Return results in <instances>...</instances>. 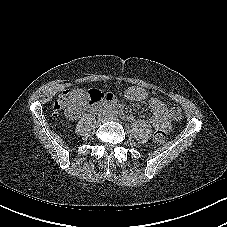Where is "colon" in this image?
<instances>
[{
  "label": "colon",
  "mask_w": 227,
  "mask_h": 227,
  "mask_svg": "<svg viewBox=\"0 0 227 227\" xmlns=\"http://www.w3.org/2000/svg\"><path fill=\"white\" fill-rule=\"evenodd\" d=\"M69 94V90H65L59 97L58 99L55 101L54 103V113L57 115L60 110L63 108L65 101L67 99V96ZM169 115L170 117L175 120V121H179L182 117V112L181 109L177 106V105H172L170 107L169 110ZM167 139V135L166 132L164 130H157L154 133L153 136V141L155 144H162L166 141Z\"/></svg>",
  "instance_id": "1"
}]
</instances>
